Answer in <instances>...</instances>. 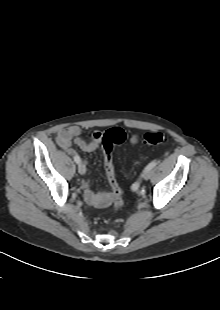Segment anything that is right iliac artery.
Listing matches in <instances>:
<instances>
[{"mask_svg": "<svg viewBox=\"0 0 220 310\" xmlns=\"http://www.w3.org/2000/svg\"><path fill=\"white\" fill-rule=\"evenodd\" d=\"M74 161H75L77 164H79V163L81 162V159H80L79 156H75V157H74Z\"/></svg>", "mask_w": 220, "mask_h": 310, "instance_id": "1", "label": "right iliac artery"}]
</instances>
